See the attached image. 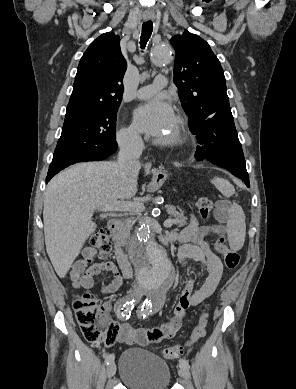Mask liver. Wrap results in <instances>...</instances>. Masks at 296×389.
Here are the masks:
<instances>
[{
    "label": "liver",
    "mask_w": 296,
    "mask_h": 389,
    "mask_svg": "<svg viewBox=\"0 0 296 389\" xmlns=\"http://www.w3.org/2000/svg\"><path fill=\"white\" fill-rule=\"evenodd\" d=\"M135 172L118 162H87L71 166L54 177L44 194L46 251L60 278H64L85 241L96 230L91 217L95 210L137 192Z\"/></svg>",
    "instance_id": "6515ba94"
}]
</instances>
